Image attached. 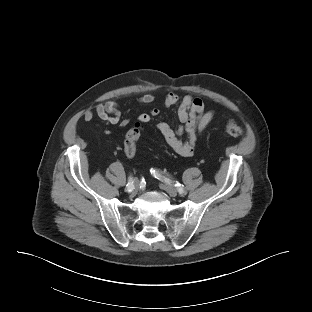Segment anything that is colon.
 <instances>
[{
  "label": "colon",
  "instance_id": "colon-1",
  "mask_svg": "<svg viewBox=\"0 0 312 312\" xmlns=\"http://www.w3.org/2000/svg\"><path fill=\"white\" fill-rule=\"evenodd\" d=\"M142 131V125L135 123L126 133L124 140V153L127 157L132 158L136 155V144L142 134ZM225 133L230 137L240 138L244 135V129L234 121L229 120L225 125Z\"/></svg>",
  "mask_w": 312,
  "mask_h": 312
}]
</instances>
